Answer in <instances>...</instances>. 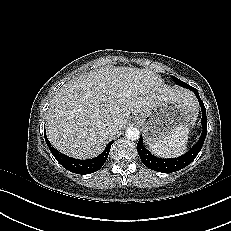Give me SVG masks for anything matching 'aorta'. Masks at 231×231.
I'll return each mask as SVG.
<instances>
[{"label":"aorta","instance_id":"1","mask_svg":"<svg viewBox=\"0 0 231 231\" xmlns=\"http://www.w3.org/2000/svg\"><path fill=\"white\" fill-rule=\"evenodd\" d=\"M125 136L128 140L135 141L138 140L140 137V132L135 127H129L125 131Z\"/></svg>","mask_w":231,"mask_h":231}]
</instances>
